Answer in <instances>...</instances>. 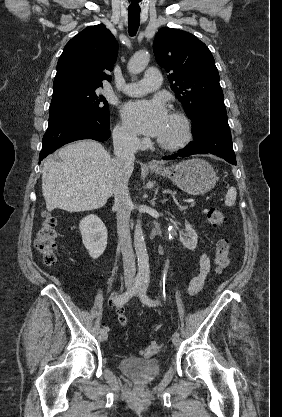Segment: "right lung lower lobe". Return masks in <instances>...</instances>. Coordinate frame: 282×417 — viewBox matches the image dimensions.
<instances>
[{"label": "right lung lower lobe", "mask_w": 282, "mask_h": 417, "mask_svg": "<svg viewBox=\"0 0 282 417\" xmlns=\"http://www.w3.org/2000/svg\"><path fill=\"white\" fill-rule=\"evenodd\" d=\"M110 117L99 119L86 113H70L49 120L48 129L43 137L39 163L47 155L66 143L94 139L106 141L110 137Z\"/></svg>", "instance_id": "right-lung-lower-lobe-1"}]
</instances>
